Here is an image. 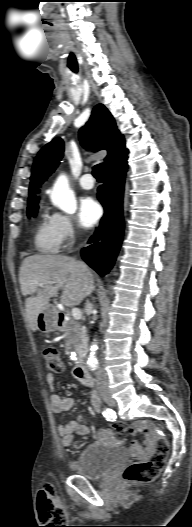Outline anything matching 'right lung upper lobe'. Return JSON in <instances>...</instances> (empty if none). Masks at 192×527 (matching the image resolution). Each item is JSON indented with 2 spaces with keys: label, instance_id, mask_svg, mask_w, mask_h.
<instances>
[{
  "label": "right lung upper lobe",
  "instance_id": "obj_1",
  "mask_svg": "<svg viewBox=\"0 0 192 527\" xmlns=\"http://www.w3.org/2000/svg\"><path fill=\"white\" fill-rule=\"evenodd\" d=\"M79 139L83 147L91 150H107L108 155L104 159L105 169L113 165L119 158L128 153L122 134L117 130L115 120L104 105H97L90 120L79 131ZM64 151L62 139L55 138L45 145L37 154L33 168L29 188L28 202H38L35 198L40 184L56 169Z\"/></svg>",
  "mask_w": 192,
  "mask_h": 527
}]
</instances>
